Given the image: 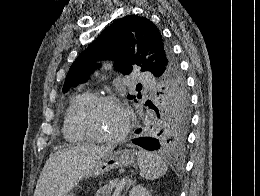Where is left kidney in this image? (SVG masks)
Masks as SVG:
<instances>
[{
    "label": "left kidney",
    "mask_w": 260,
    "mask_h": 196,
    "mask_svg": "<svg viewBox=\"0 0 260 196\" xmlns=\"http://www.w3.org/2000/svg\"><path fill=\"white\" fill-rule=\"evenodd\" d=\"M129 196H150V192H147L146 188H143L142 184L134 186L129 192Z\"/></svg>",
    "instance_id": "obj_1"
}]
</instances>
